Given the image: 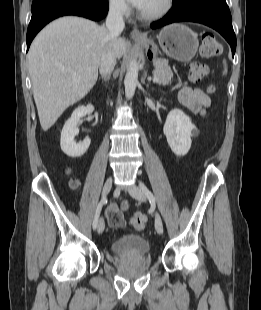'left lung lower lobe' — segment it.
I'll return each mask as SVG.
<instances>
[{
  "instance_id": "0a47b994",
  "label": "left lung lower lobe",
  "mask_w": 261,
  "mask_h": 310,
  "mask_svg": "<svg viewBox=\"0 0 261 310\" xmlns=\"http://www.w3.org/2000/svg\"><path fill=\"white\" fill-rule=\"evenodd\" d=\"M181 21L201 23L215 29L230 44L234 56L236 36L226 0H181L173 2V7L168 14L161 20L152 23L151 27L155 29Z\"/></svg>"
}]
</instances>
